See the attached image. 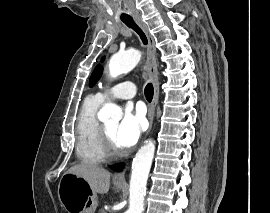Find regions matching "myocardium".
Wrapping results in <instances>:
<instances>
[{"label": "myocardium", "mask_w": 270, "mask_h": 213, "mask_svg": "<svg viewBox=\"0 0 270 213\" xmlns=\"http://www.w3.org/2000/svg\"><path fill=\"white\" fill-rule=\"evenodd\" d=\"M101 140L105 154L108 158L120 156L122 151L115 147L104 125H101Z\"/></svg>", "instance_id": "f54148a6"}]
</instances>
